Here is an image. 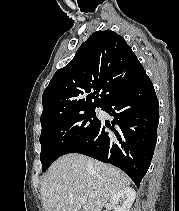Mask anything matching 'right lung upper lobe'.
Here are the masks:
<instances>
[{"label":"right lung upper lobe","instance_id":"obj_1","mask_svg":"<svg viewBox=\"0 0 179 211\" xmlns=\"http://www.w3.org/2000/svg\"><path fill=\"white\" fill-rule=\"evenodd\" d=\"M144 72L122 36L111 30L94 32L44 90L42 127L64 115L103 108Z\"/></svg>","mask_w":179,"mask_h":211}]
</instances>
